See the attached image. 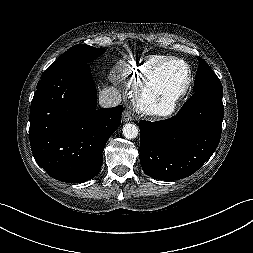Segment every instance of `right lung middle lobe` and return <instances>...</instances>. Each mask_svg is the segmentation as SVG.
I'll return each mask as SVG.
<instances>
[{"label": "right lung middle lobe", "instance_id": "dd1d6c3e", "mask_svg": "<svg viewBox=\"0 0 253 253\" xmlns=\"http://www.w3.org/2000/svg\"><path fill=\"white\" fill-rule=\"evenodd\" d=\"M105 52V49H98L85 44H78L64 52L53 64H51L42 76L51 72L61 70L76 64L86 63L95 59Z\"/></svg>", "mask_w": 253, "mask_h": 253}]
</instances>
